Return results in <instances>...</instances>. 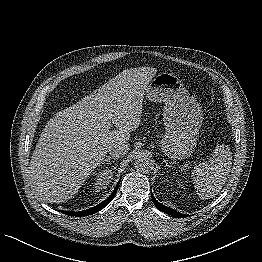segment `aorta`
I'll use <instances>...</instances> for the list:
<instances>
[{
	"mask_svg": "<svg viewBox=\"0 0 262 262\" xmlns=\"http://www.w3.org/2000/svg\"><path fill=\"white\" fill-rule=\"evenodd\" d=\"M134 165L135 168L141 172H148L153 169L152 161L145 153H140L137 155Z\"/></svg>",
	"mask_w": 262,
	"mask_h": 262,
	"instance_id": "obj_1",
	"label": "aorta"
}]
</instances>
